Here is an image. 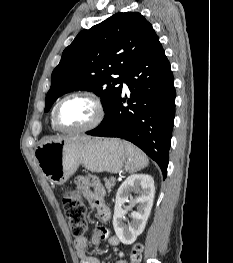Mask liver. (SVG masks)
I'll list each match as a JSON object with an SVG mask.
<instances>
[{
    "instance_id": "6515ba94",
    "label": "liver",
    "mask_w": 233,
    "mask_h": 263,
    "mask_svg": "<svg viewBox=\"0 0 233 263\" xmlns=\"http://www.w3.org/2000/svg\"><path fill=\"white\" fill-rule=\"evenodd\" d=\"M56 138H61V137H46V138L43 139L42 143L46 142V141H49V140H52V139H56Z\"/></svg>"
}]
</instances>
